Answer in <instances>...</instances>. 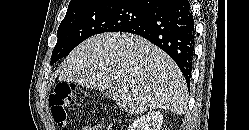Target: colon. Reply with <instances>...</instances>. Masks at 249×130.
Instances as JSON below:
<instances>
[{"mask_svg": "<svg viewBox=\"0 0 249 130\" xmlns=\"http://www.w3.org/2000/svg\"><path fill=\"white\" fill-rule=\"evenodd\" d=\"M76 87L71 83H58L49 95V105L55 123L63 128L67 123L68 110L76 104Z\"/></svg>", "mask_w": 249, "mask_h": 130, "instance_id": "obj_1", "label": "colon"}]
</instances>
